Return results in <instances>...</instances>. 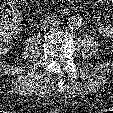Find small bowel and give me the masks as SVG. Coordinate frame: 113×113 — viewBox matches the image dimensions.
I'll list each match as a JSON object with an SVG mask.
<instances>
[{
    "label": "small bowel",
    "instance_id": "c3829d8e",
    "mask_svg": "<svg viewBox=\"0 0 113 113\" xmlns=\"http://www.w3.org/2000/svg\"><path fill=\"white\" fill-rule=\"evenodd\" d=\"M13 15H14V18L16 19V21H19L20 13L14 12ZM95 25H96L97 31L101 35H103L105 37H113V24H105L101 20H96Z\"/></svg>",
    "mask_w": 113,
    "mask_h": 113
}]
</instances>
